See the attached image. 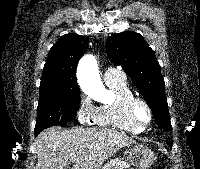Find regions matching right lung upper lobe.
<instances>
[{"instance_id": "obj_1", "label": "right lung upper lobe", "mask_w": 200, "mask_h": 169, "mask_svg": "<svg viewBox=\"0 0 200 169\" xmlns=\"http://www.w3.org/2000/svg\"><path fill=\"white\" fill-rule=\"evenodd\" d=\"M87 46V36L66 34L59 38L50 49L44 65L40 83L41 96L80 92L76 67Z\"/></svg>"}]
</instances>
